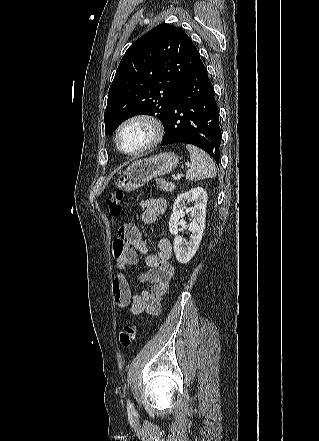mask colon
<instances>
[{
  "instance_id": "1",
  "label": "colon",
  "mask_w": 319,
  "mask_h": 441,
  "mask_svg": "<svg viewBox=\"0 0 319 441\" xmlns=\"http://www.w3.org/2000/svg\"><path fill=\"white\" fill-rule=\"evenodd\" d=\"M123 194L120 191L112 192L106 199L111 216L117 217L122 213ZM137 336V327L134 324L124 326L119 333V340L123 347H130Z\"/></svg>"
}]
</instances>
